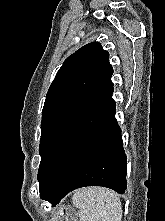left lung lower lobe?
<instances>
[{
	"label": "left lung lower lobe",
	"mask_w": 165,
	"mask_h": 221,
	"mask_svg": "<svg viewBox=\"0 0 165 221\" xmlns=\"http://www.w3.org/2000/svg\"><path fill=\"white\" fill-rule=\"evenodd\" d=\"M113 90L67 131L50 154L38 181L41 198L53 206L84 186L125 192L127 158L115 118Z\"/></svg>",
	"instance_id": "obj_1"
}]
</instances>
